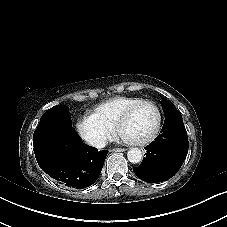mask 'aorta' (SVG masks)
<instances>
[{"instance_id":"762f6f07","label":"aorta","mask_w":227,"mask_h":227,"mask_svg":"<svg viewBox=\"0 0 227 227\" xmlns=\"http://www.w3.org/2000/svg\"><path fill=\"white\" fill-rule=\"evenodd\" d=\"M127 158L133 164L139 163L142 161V152L139 148H130L127 152Z\"/></svg>"}]
</instances>
